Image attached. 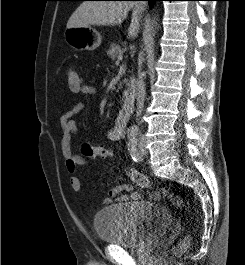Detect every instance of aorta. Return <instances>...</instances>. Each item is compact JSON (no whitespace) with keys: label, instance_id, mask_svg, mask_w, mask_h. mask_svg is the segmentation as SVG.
<instances>
[{"label":"aorta","instance_id":"aorta-1","mask_svg":"<svg viewBox=\"0 0 245 265\" xmlns=\"http://www.w3.org/2000/svg\"><path fill=\"white\" fill-rule=\"evenodd\" d=\"M152 26L153 28L156 30L157 29V22L156 19L154 18V20L152 21Z\"/></svg>","mask_w":245,"mask_h":265}]
</instances>
